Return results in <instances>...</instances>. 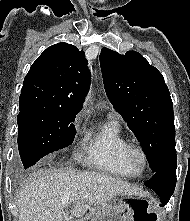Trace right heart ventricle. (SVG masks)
I'll use <instances>...</instances> for the list:
<instances>
[{"mask_svg":"<svg viewBox=\"0 0 190 221\" xmlns=\"http://www.w3.org/2000/svg\"><path fill=\"white\" fill-rule=\"evenodd\" d=\"M87 142L86 161L91 168L126 178L138 175L127 160L130 142L118 120H107L98 131L88 134Z\"/></svg>","mask_w":190,"mask_h":221,"instance_id":"obj_1","label":"right heart ventricle"}]
</instances>
